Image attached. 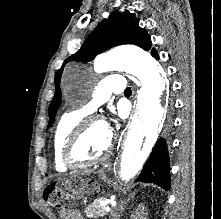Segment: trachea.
I'll use <instances>...</instances> for the list:
<instances>
[{
    "instance_id": "obj_1",
    "label": "trachea",
    "mask_w": 221,
    "mask_h": 219,
    "mask_svg": "<svg viewBox=\"0 0 221 219\" xmlns=\"http://www.w3.org/2000/svg\"><path fill=\"white\" fill-rule=\"evenodd\" d=\"M131 93H132V91H131L130 87H127V88L125 89V91H124V94H125V95L131 94Z\"/></svg>"
}]
</instances>
